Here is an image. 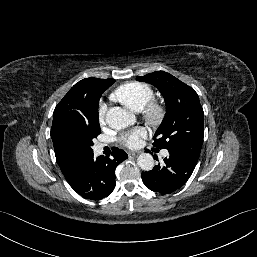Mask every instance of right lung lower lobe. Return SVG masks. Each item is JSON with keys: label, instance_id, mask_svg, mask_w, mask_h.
Wrapping results in <instances>:
<instances>
[{"label": "right lung lower lobe", "instance_id": "right-lung-lower-lobe-1", "mask_svg": "<svg viewBox=\"0 0 257 257\" xmlns=\"http://www.w3.org/2000/svg\"><path fill=\"white\" fill-rule=\"evenodd\" d=\"M112 158L93 153L85 158L74 174L66 179L76 193L90 200L107 197L115 188V169L128 155L121 149L113 148Z\"/></svg>", "mask_w": 257, "mask_h": 257}]
</instances>
